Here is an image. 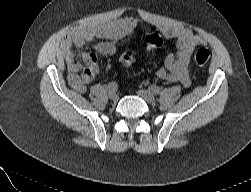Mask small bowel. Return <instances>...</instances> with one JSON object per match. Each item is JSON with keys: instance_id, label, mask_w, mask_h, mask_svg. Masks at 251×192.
Instances as JSON below:
<instances>
[{"instance_id": "small-bowel-1", "label": "small bowel", "mask_w": 251, "mask_h": 192, "mask_svg": "<svg viewBox=\"0 0 251 192\" xmlns=\"http://www.w3.org/2000/svg\"><path fill=\"white\" fill-rule=\"evenodd\" d=\"M136 22L132 18H123L117 22L103 24L97 27L76 30L69 34L62 43V51L68 64V82L79 93H84L87 85L96 77L98 63L93 52L82 55L85 68L73 53V46H82L95 39L100 42L95 46L96 51L113 55L117 51V44L126 41L132 34ZM161 33L168 39H175L176 51L168 54L164 66L157 70L156 75L168 83H181L184 87L191 84L190 60L193 50L205 44L204 38L187 27L162 26Z\"/></svg>"}]
</instances>
